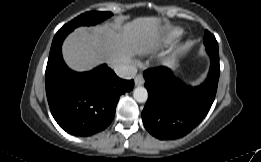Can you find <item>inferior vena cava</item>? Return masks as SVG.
<instances>
[{
	"label": "inferior vena cava",
	"mask_w": 261,
	"mask_h": 162,
	"mask_svg": "<svg viewBox=\"0 0 261 162\" xmlns=\"http://www.w3.org/2000/svg\"><path fill=\"white\" fill-rule=\"evenodd\" d=\"M117 76L123 79H132L137 73V67L135 64L121 63L113 67Z\"/></svg>",
	"instance_id": "602c4592"
}]
</instances>
